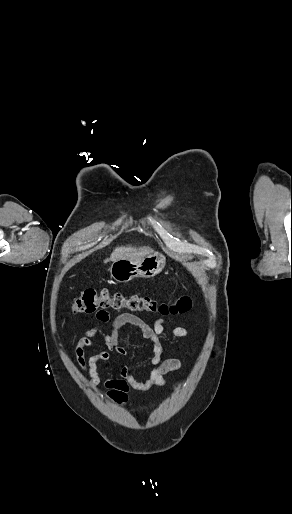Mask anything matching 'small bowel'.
I'll return each instance as SVG.
<instances>
[{
    "label": "small bowel",
    "instance_id": "c3829d8e",
    "mask_svg": "<svg viewBox=\"0 0 292 514\" xmlns=\"http://www.w3.org/2000/svg\"><path fill=\"white\" fill-rule=\"evenodd\" d=\"M94 316L98 322H111V328L109 331H105L99 326H93L86 330L76 343L75 355L79 367L89 377L90 387L97 388L102 384L106 389L105 397L117 403H124L129 390L145 392L155 386H164L167 384L166 375L182 368V362L179 359L172 357L163 359L161 357L163 352L161 339L164 337L172 339L186 338L189 336L187 328L177 326L167 331L165 319L160 318L154 323H150L132 313H122L112 319L111 314L105 309L97 310ZM126 327L139 329L142 337L152 345L153 356L150 363L154 367L144 381L138 380L127 367L121 369L120 377L103 380L99 373V364L110 360L109 352L129 356L128 350L120 344V333ZM97 336L103 339L105 350L86 358V350L96 347L94 338Z\"/></svg>",
    "mask_w": 292,
    "mask_h": 514
}]
</instances>
